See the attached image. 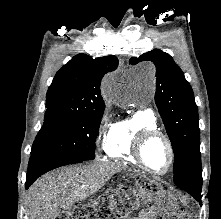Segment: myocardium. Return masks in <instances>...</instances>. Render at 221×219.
I'll list each match as a JSON object with an SVG mask.
<instances>
[{
    "label": "myocardium",
    "mask_w": 221,
    "mask_h": 219,
    "mask_svg": "<svg viewBox=\"0 0 221 219\" xmlns=\"http://www.w3.org/2000/svg\"><path fill=\"white\" fill-rule=\"evenodd\" d=\"M158 137L165 142L169 153L168 167L163 172H158L151 169L145 162L143 155L146 144L152 139ZM132 154L139 166H141L144 170L155 176H164L168 174L172 170L175 161L174 147L170 138L162 131L155 128H145L137 133L132 144Z\"/></svg>",
    "instance_id": "myocardium-1"
}]
</instances>
